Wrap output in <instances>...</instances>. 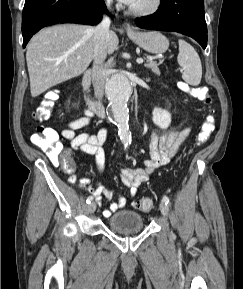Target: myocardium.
Wrapping results in <instances>:
<instances>
[{"instance_id": "f54148a6", "label": "myocardium", "mask_w": 243, "mask_h": 289, "mask_svg": "<svg viewBox=\"0 0 243 289\" xmlns=\"http://www.w3.org/2000/svg\"><path fill=\"white\" fill-rule=\"evenodd\" d=\"M163 0H151L150 3L143 8H134L129 6L128 11L135 16H149L160 10Z\"/></svg>"}]
</instances>
